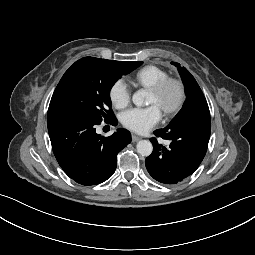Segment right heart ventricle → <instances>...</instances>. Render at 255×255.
Returning a JSON list of instances; mask_svg holds the SVG:
<instances>
[{"mask_svg":"<svg viewBox=\"0 0 255 255\" xmlns=\"http://www.w3.org/2000/svg\"><path fill=\"white\" fill-rule=\"evenodd\" d=\"M169 76V73L159 66L146 65L135 73L134 82L141 87L149 89Z\"/></svg>","mask_w":255,"mask_h":255,"instance_id":"right-heart-ventricle-1","label":"right heart ventricle"}]
</instances>
